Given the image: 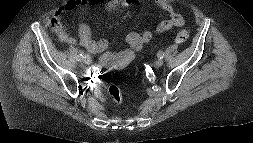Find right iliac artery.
Returning <instances> with one entry per match:
<instances>
[{
    "label": "right iliac artery",
    "mask_w": 253,
    "mask_h": 143,
    "mask_svg": "<svg viewBox=\"0 0 253 143\" xmlns=\"http://www.w3.org/2000/svg\"><path fill=\"white\" fill-rule=\"evenodd\" d=\"M85 58V54L84 53H80L77 57L78 61H82Z\"/></svg>",
    "instance_id": "1"
}]
</instances>
